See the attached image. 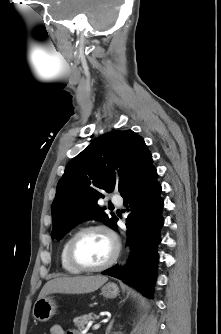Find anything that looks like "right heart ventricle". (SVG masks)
Here are the masks:
<instances>
[{"label": "right heart ventricle", "mask_w": 221, "mask_h": 334, "mask_svg": "<svg viewBox=\"0 0 221 334\" xmlns=\"http://www.w3.org/2000/svg\"><path fill=\"white\" fill-rule=\"evenodd\" d=\"M71 237H72V235L69 236L64 241V243L62 245L61 252H60V262H61V266H62L64 271H66L70 274H78L81 271L70 264V262L68 260V256H67V248H68V244H69V241H70Z\"/></svg>", "instance_id": "right-heart-ventricle-1"}]
</instances>
